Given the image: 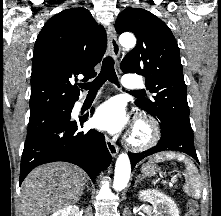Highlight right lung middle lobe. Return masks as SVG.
I'll use <instances>...</instances> for the list:
<instances>
[{
    "label": "right lung middle lobe",
    "instance_id": "right-lung-middle-lobe-1",
    "mask_svg": "<svg viewBox=\"0 0 221 216\" xmlns=\"http://www.w3.org/2000/svg\"><path fill=\"white\" fill-rule=\"evenodd\" d=\"M70 106H62L30 115L26 142L36 138L49 127L69 116Z\"/></svg>",
    "mask_w": 221,
    "mask_h": 216
}]
</instances>
